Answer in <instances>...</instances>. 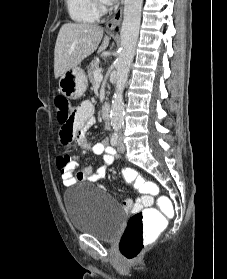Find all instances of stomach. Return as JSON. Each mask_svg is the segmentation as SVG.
Masks as SVG:
<instances>
[{
    "label": "stomach",
    "instance_id": "0dacf381",
    "mask_svg": "<svg viewBox=\"0 0 227 279\" xmlns=\"http://www.w3.org/2000/svg\"><path fill=\"white\" fill-rule=\"evenodd\" d=\"M88 86L87 77L80 67H74L59 78V91L70 99L81 97Z\"/></svg>",
    "mask_w": 227,
    "mask_h": 279
}]
</instances>
